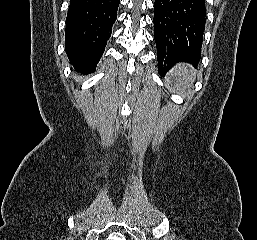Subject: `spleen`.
Returning a JSON list of instances; mask_svg holds the SVG:
<instances>
[{"label":"spleen","instance_id":"obj_1","mask_svg":"<svg viewBox=\"0 0 257 240\" xmlns=\"http://www.w3.org/2000/svg\"><path fill=\"white\" fill-rule=\"evenodd\" d=\"M174 79L183 87V88H192L193 82L195 80V72L188 65H179L173 71Z\"/></svg>","mask_w":257,"mask_h":240}]
</instances>
